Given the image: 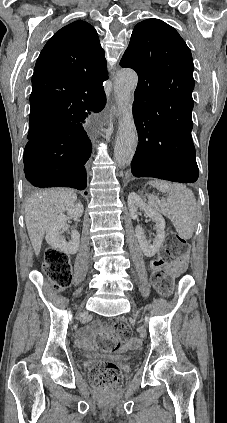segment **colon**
Listing matches in <instances>:
<instances>
[{
    "label": "colon",
    "mask_w": 227,
    "mask_h": 423,
    "mask_svg": "<svg viewBox=\"0 0 227 423\" xmlns=\"http://www.w3.org/2000/svg\"><path fill=\"white\" fill-rule=\"evenodd\" d=\"M185 252L184 240L175 232L168 233L165 243L158 256L151 263V280L154 287L161 293L167 294L171 288V279L166 267L182 257ZM43 271L50 278L55 290L60 291L71 283V264L67 254L50 248L45 253ZM130 336V328L123 320H115L104 327L97 343L100 350H112L117 347V339ZM91 381L108 390L121 380V371L117 365L110 362L96 364L90 369Z\"/></svg>",
    "instance_id": "1"
}]
</instances>
